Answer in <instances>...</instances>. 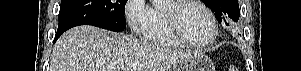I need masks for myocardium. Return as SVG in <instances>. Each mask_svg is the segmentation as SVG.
Listing matches in <instances>:
<instances>
[{
  "label": "myocardium",
  "mask_w": 301,
  "mask_h": 71,
  "mask_svg": "<svg viewBox=\"0 0 301 71\" xmlns=\"http://www.w3.org/2000/svg\"><path fill=\"white\" fill-rule=\"evenodd\" d=\"M189 5H196L200 7L206 15L209 17L213 32L210 39L204 43H197L191 41L185 34L182 23L180 21V12ZM164 14L166 16L169 28L173 35L185 46L192 48H207L211 46L217 39L219 28L217 20L210 9L204 5L201 1L197 0H168L166 6L163 8Z\"/></svg>",
  "instance_id": "1"
}]
</instances>
